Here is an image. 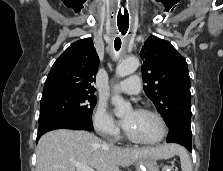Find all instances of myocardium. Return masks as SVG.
Masks as SVG:
<instances>
[{
	"label": "myocardium",
	"instance_id": "f54148a6",
	"mask_svg": "<svg viewBox=\"0 0 223 171\" xmlns=\"http://www.w3.org/2000/svg\"><path fill=\"white\" fill-rule=\"evenodd\" d=\"M136 111L139 112V113L148 114V115H151V116L155 117L157 119V121L159 122V125H160V130H161L160 135L155 140L142 141V140L136 139L131 134H129L127 132V130H125L126 138L129 141H131L132 143L139 144V145L152 146V145H156V144L160 143L166 137L167 131H168L167 124H166L163 116L159 112H157L153 109H149V108H139Z\"/></svg>",
	"mask_w": 223,
	"mask_h": 171
}]
</instances>
